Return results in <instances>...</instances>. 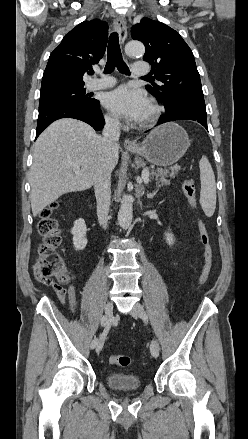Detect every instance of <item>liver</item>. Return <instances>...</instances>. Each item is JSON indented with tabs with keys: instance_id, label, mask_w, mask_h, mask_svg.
<instances>
[{
	"instance_id": "liver-1",
	"label": "liver",
	"mask_w": 248,
	"mask_h": 439,
	"mask_svg": "<svg viewBox=\"0 0 248 439\" xmlns=\"http://www.w3.org/2000/svg\"><path fill=\"white\" fill-rule=\"evenodd\" d=\"M118 159V148L108 150L88 124L70 118L53 122L33 146L29 175L33 215L64 194L91 188L103 169L113 171ZM68 163H77L80 169Z\"/></svg>"
}]
</instances>
